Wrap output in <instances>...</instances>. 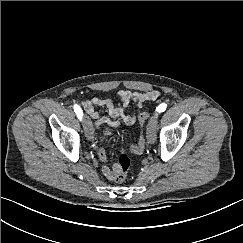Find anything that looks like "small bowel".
<instances>
[{"mask_svg": "<svg viewBox=\"0 0 243 243\" xmlns=\"http://www.w3.org/2000/svg\"><path fill=\"white\" fill-rule=\"evenodd\" d=\"M117 96L119 103H115L112 99L101 97H94L92 99L82 101L81 105L83 109L94 120V125L98 131L101 130V127L104 124L114 128L120 126L119 118H121L126 125H133L136 122V116L128 111L130 103L134 102L138 107H142L145 102L155 101L158 99L160 93L157 90H148L144 92L119 90L117 92ZM95 106L105 107L108 111L109 117L99 115L95 110ZM109 135H112L109 131L100 132L98 144L96 145L98 159L103 164L107 163V156L105 149L100 144L104 141L105 136ZM131 151L134 152L132 146ZM102 173L107 179L111 181L114 180L115 170L113 167L110 168L109 166L104 165L102 167Z\"/></svg>", "mask_w": 243, "mask_h": 243, "instance_id": "1", "label": "small bowel"}]
</instances>
